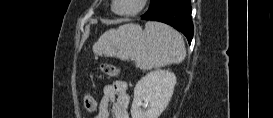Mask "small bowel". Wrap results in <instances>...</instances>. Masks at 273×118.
I'll return each instance as SVG.
<instances>
[{
  "label": "small bowel",
  "instance_id": "c3829d8e",
  "mask_svg": "<svg viewBox=\"0 0 273 118\" xmlns=\"http://www.w3.org/2000/svg\"><path fill=\"white\" fill-rule=\"evenodd\" d=\"M90 96V95H89ZM96 103V118H128L129 94L124 81H116L103 87L102 97L99 104Z\"/></svg>",
  "mask_w": 273,
  "mask_h": 118
}]
</instances>
